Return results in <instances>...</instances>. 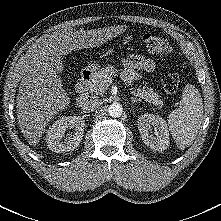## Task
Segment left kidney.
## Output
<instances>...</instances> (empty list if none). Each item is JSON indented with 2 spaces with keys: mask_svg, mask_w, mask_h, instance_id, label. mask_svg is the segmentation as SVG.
<instances>
[{
  "mask_svg": "<svg viewBox=\"0 0 221 221\" xmlns=\"http://www.w3.org/2000/svg\"><path fill=\"white\" fill-rule=\"evenodd\" d=\"M154 128V135L150 131ZM138 128L144 143L156 151H164L169 146V133L165 120L153 114H144L138 119Z\"/></svg>",
  "mask_w": 221,
  "mask_h": 221,
  "instance_id": "obj_1",
  "label": "left kidney"
}]
</instances>
